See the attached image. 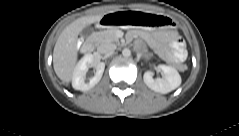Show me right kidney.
<instances>
[{
  "instance_id": "1",
  "label": "right kidney",
  "mask_w": 239,
  "mask_h": 136,
  "mask_svg": "<svg viewBox=\"0 0 239 136\" xmlns=\"http://www.w3.org/2000/svg\"><path fill=\"white\" fill-rule=\"evenodd\" d=\"M89 66H95L96 73L86 82V73ZM104 69L105 63L100 62L96 64L94 56L92 54H86L75 66L72 77V87L80 91L90 90L101 80Z\"/></svg>"
}]
</instances>
